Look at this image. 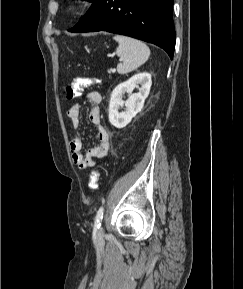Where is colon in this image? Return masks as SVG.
Returning a JSON list of instances; mask_svg holds the SVG:
<instances>
[{
	"mask_svg": "<svg viewBox=\"0 0 243 289\" xmlns=\"http://www.w3.org/2000/svg\"><path fill=\"white\" fill-rule=\"evenodd\" d=\"M93 84V80L85 77H76L65 88V97L67 100H73L79 97L84 88ZM99 172L92 171L89 177L88 186L94 190L98 186Z\"/></svg>",
	"mask_w": 243,
	"mask_h": 289,
	"instance_id": "colon-1",
	"label": "colon"
}]
</instances>
